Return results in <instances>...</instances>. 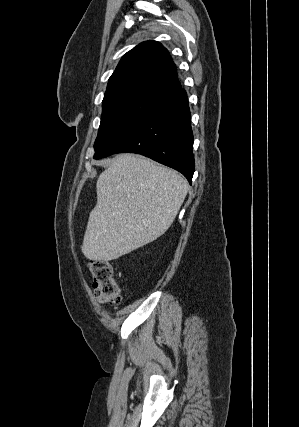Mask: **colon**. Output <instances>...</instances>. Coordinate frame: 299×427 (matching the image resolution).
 <instances>
[{
	"label": "colon",
	"mask_w": 299,
	"mask_h": 427,
	"mask_svg": "<svg viewBox=\"0 0 299 427\" xmlns=\"http://www.w3.org/2000/svg\"><path fill=\"white\" fill-rule=\"evenodd\" d=\"M96 299L102 304L118 305L121 288L113 266L105 260H92L89 265Z\"/></svg>",
	"instance_id": "obj_1"
}]
</instances>
